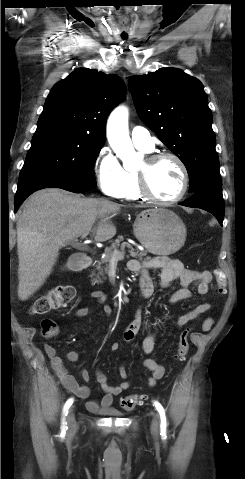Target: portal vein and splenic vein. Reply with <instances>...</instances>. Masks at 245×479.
Returning <instances> with one entry per match:
<instances>
[{
  "instance_id": "obj_1",
  "label": "portal vein and splenic vein",
  "mask_w": 245,
  "mask_h": 479,
  "mask_svg": "<svg viewBox=\"0 0 245 479\" xmlns=\"http://www.w3.org/2000/svg\"><path fill=\"white\" fill-rule=\"evenodd\" d=\"M86 236H87V234H84V235L82 236V238H85ZM125 246H127V248L133 250V248H132V246H131L130 244L125 243L124 245L121 246V250L115 249V250L113 251L112 259H114V260H120V259H122V258L124 257V255H125V251H124Z\"/></svg>"
}]
</instances>
